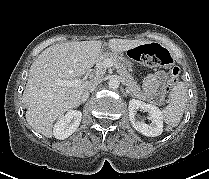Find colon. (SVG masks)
I'll use <instances>...</instances> for the list:
<instances>
[{
	"label": "colon",
	"mask_w": 209,
	"mask_h": 179,
	"mask_svg": "<svg viewBox=\"0 0 209 179\" xmlns=\"http://www.w3.org/2000/svg\"><path fill=\"white\" fill-rule=\"evenodd\" d=\"M129 56L133 60L151 67L167 65L171 62L169 52L158 44L136 45L129 50ZM179 73L178 67H173L170 71L168 81L164 87L166 93H168L177 82Z\"/></svg>",
	"instance_id": "colon-1"
}]
</instances>
